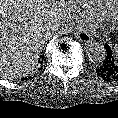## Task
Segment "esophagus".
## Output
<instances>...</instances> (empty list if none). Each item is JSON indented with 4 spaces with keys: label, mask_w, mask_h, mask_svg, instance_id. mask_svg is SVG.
I'll list each match as a JSON object with an SVG mask.
<instances>
[{
    "label": "esophagus",
    "mask_w": 118,
    "mask_h": 118,
    "mask_svg": "<svg viewBox=\"0 0 118 118\" xmlns=\"http://www.w3.org/2000/svg\"><path fill=\"white\" fill-rule=\"evenodd\" d=\"M75 37L80 41V42H85V43H90L92 41V37L90 34L83 29L81 26H77L74 30Z\"/></svg>",
    "instance_id": "esophagus-1"
}]
</instances>
